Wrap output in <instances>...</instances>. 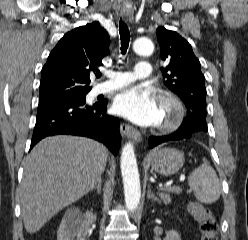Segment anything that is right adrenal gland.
Wrapping results in <instances>:
<instances>
[{"label":"right adrenal gland","instance_id":"1","mask_svg":"<svg viewBox=\"0 0 248 240\" xmlns=\"http://www.w3.org/2000/svg\"><path fill=\"white\" fill-rule=\"evenodd\" d=\"M101 187H102V179L100 178L92 190L97 189L98 194H101Z\"/></svg>","mask_w":248,"mask_h":240}]
</instances>
